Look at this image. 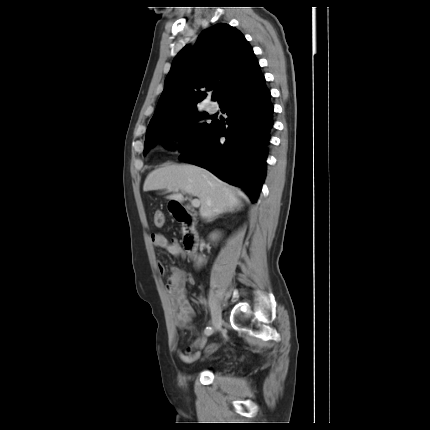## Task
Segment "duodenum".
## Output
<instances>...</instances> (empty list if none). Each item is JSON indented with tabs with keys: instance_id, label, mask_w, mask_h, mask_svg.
Masks as SVG:
<instances>
[{
	"instance_id": "410a0bca",
	"label": "duodenum",
	"mask_w": 430,
	"mask_h": 430,
	"mask_svg": "<svg viewBox=\"0 0 430 430\" xmlns=\"http://www.w3.org/2000/svg\"><path fill=\"white\" fill-rule=\"evenodd\" d=\"M174 218L183 226V245L189 256H194L199 246V236L195 227V218L184 206L176 204L172 209Z\"/></svg>"
}]
</instances>
